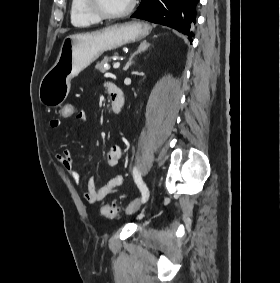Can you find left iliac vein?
Masks as SVG:
<instances>
[{
  "mask_svg": "<svg viewBox=\"0 0 280 283\" xmlns=\"http://www.w3.org/2000/svg\"><path fill=\"white\" fill-rule=\"evenodd\" d=\"M141 206V201L139 198L134 199L131 203H129V205L126 207V214H133L136 211H138V209Z\"/></svg>",
  "mask_w": 280,
  "mask_h": 283,
  "instance_id": "4c4485c4",
  "label": "left iliac vein"
}]
</instances>
